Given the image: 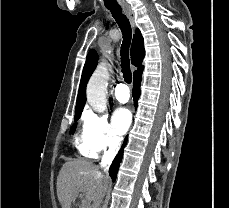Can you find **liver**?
I'll use <instances>...</instances> for the list:
<instances>
[{
    "mask_svg": "<svg viewBox=\"0 0 229 208\" xmlns=\"http://www.w3.org/2000/svg\"><path fill=\"white\" fill-rule=\"evenodd\" d=\"M108 180L101 178L97 166L89 160L65 162L57 180V196L62 208H72L79 192H84L86 200L93 202L90 208H99Z\"/></svg>",
    "mask_w": 229,
    "mask_h": 208,
    "instance_id": "obj_1",
    "label": "liver"
}]
</instances>
